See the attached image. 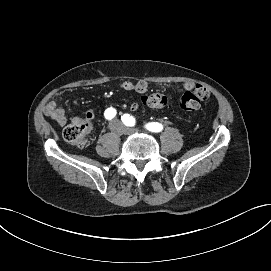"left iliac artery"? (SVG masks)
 <instances>
[{"mask_svg": "<svg viewBox=\"0 0 271 271\" xmlns=\"http://www.w3.org/2000/svg\"><path fill=\"white\" fill-rule=\"evenodd\" d=\"M121 120L123 121V124L125 126H133L135 124V117L132 114H124L121 117ZM146 129L151 131V132H160L163 129L162 124L158 123V122H151L145 125Z\"/></svg>", "mask_w": 271, "mask_h": 271, "instance_id": "44dca946", "label": "left iliac artery"}]
</instances>
